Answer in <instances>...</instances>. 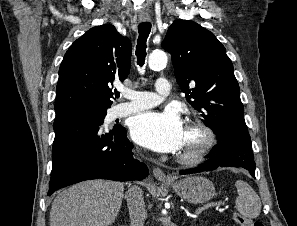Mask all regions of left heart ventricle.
Returning a JSON list of instances; mask_svg holds the SVG:
<instances>
[{
	"label": "left heart ventricle",
	"mask_w": 297,
	"mask_h": 226,
	"mask_svg": "<svg viewBox=\"0 0 297 226\" xmlns=\"http://www.w3.org/2000/svg\"><path fill=\"white\" fill-rule=\"evenodd\" d=\"M200 140L201 137L195 130L185 128L184 143L180 152L186 153L194 150Z\"/></svg>",
	"instance_id": "1"
}]
</instances>
